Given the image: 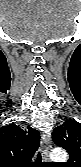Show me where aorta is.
<instances>
[{
	"mask_svg": "<svg viewBox=\"0 0 81 167\" xmlns=\"http://www.w3.org/2000/svg\"><path fill=\"white\" fill-rule=\"evenodd\" d=\"M50 157L54 162H66L68 159L66 151L61 148L53 149Z\"/></svg>",
	"mask_w": 81,
	"mask_h": 167,
	"instance_id": "1",
	"label": "aorta"
}]
</instances>
